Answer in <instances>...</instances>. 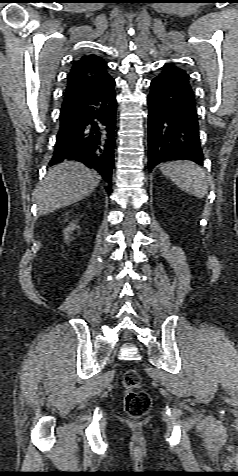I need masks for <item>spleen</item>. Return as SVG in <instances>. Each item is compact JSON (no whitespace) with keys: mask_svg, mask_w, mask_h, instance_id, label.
<instances>
[{"mask_svg":"<svg viewBox=\"0 0 238 476\" xmlns=\"http://www.w3.org/2000/svg\"><path fill=\"white\" fill-rule=\"evenodd\" d=\"M161 172L183 191L203 198L208 192L205 171L191 161H173L162 164Z\"/></svg>","mask_w":238,"mask_h":476,"instance_id":"spleen-1","label":"spleen"}]
</instances>
